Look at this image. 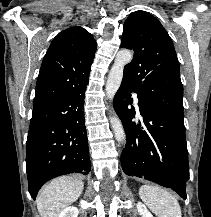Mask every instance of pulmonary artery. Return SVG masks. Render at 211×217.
I'll return each instance as SVG.
<instances>
[{
	"label": "pulmonary artery",
	"mask_w": 211,
	"mask_h": 217,
	"mask_svg": "<svg viewBox=\"0 0 211 217\" xmlns=\"http://www.w3.org/2000/svg\"><path fill=\"white\" fill-rule=\"evenodd\" d=\"M134 100H135V103L137 104L138 103V98H137L136 94H134Z\"/></svg>",
	"instance_id": "e3ab8cb5"
}]
</instances>
